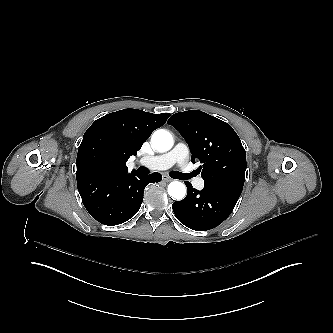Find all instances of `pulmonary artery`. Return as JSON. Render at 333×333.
I'll return each mask as SVG.
<instances>
[{
  "label": "pulmonary artery",
  "instance_id": "obj_1",
  "mask_svg": "<svg viewBox=\"0 0 333 333\" xmlns=\"http://www.w3.org/2000/svg\"><path fill=\"white\" fill-rule=\"evenodd\" d=\"M181 143L176 144V146L171 149L170 151H167L164 156L157 155L155 158L147 157L144 159L143 164L147 170H153V169H164L168 167L172 162L176 160H179L178 167L180 170L186 169V162L188 160L187 155L190 154L191 149L188 145ZM178 148V149H177ZM141 161L140 158L135 159L131 163V167H134L135 165L139 164ZM193 186L195 189L200 190L203 188L204 183L199 178L193 179Z\"/></svg>",
  "mask_w": 333,
  "mask_h": 333
}]
</instances>
